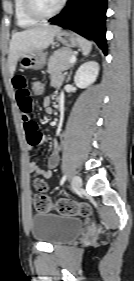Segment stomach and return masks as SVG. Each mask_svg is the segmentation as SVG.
<instances>
[{"label": "stomach", "mask_w": 134, "mask_h": 281, "mask_svg": "<svg viewBox=\"0 0 134 281\" xmlns=\"http://www.w3.org/2000/svg\"><path fill=\"white\" fill-rule=\"evenodd\" d=\"M56 39L67 48L79 45L80 37L73 32L60 30ZM20 67L23 69H42L46 63V54L43 52L25 53L19 58Z\"/></svg>", "instance_id": "1"}]
</instances>
